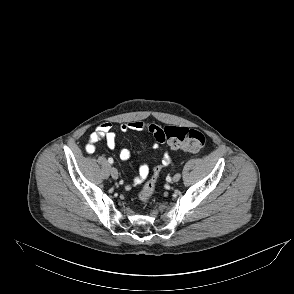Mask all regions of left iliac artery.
I'll return each mask as SVG.
<instances>
[{"mask_svg":"<svg viewBox=\"0 0 294 294\" xmlns=\"http://www.w3.org/2000/svg\"><path fill=\"white\" fill-rule=\"evenodd\" d=\"M165 180H166V182H168V183H169V182H171V180H172V177L170 176V174H169V176H168V177H166V179H165Z\"/></svg>","mask_w":294,"mask_h":294,"instance_id":"left-iliac-artery-1","label":"left iliac artery"}]
</instances>
